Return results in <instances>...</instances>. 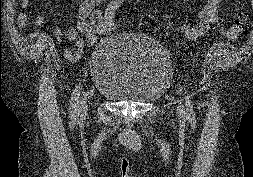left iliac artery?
<instances>
[{"label": "left iliac artery", "instance_id": "1", "mask_svg": "<svg viewBox=\"0 0 253 177\" xmlns=\"http://www.w3.org/2000/svg\"><path fill=\"white\" fill-rule=\"evenodd\" d=\"M185 105H186V110H187V113H188L191 121L192 120L194 121V111H193L192 102L190 100V97L186 93H185Z\"/></svg>", "mask_w": 253, "mask_h": 177}]
</instances>
